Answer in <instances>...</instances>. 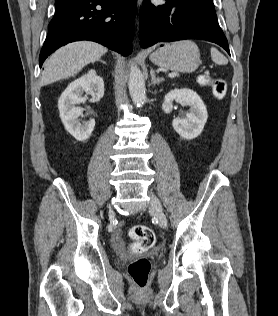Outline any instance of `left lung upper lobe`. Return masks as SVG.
<instances>
[{"instance_id":"obj_1","label":"left lung upper lobe","mask_w":278,"mask_h":316,"mask_svg":"<svg viewBox=\"0 0 278 316\" xmlns=\"http://www.w3.org/2000/svg\"><path fill=\"white\" fill-rule=\"evenodd\" d=\"M178 1L187 2L190 5H193L207 13H210L216 16L213 0H178Z\"/></svg>"}]
</instances>
